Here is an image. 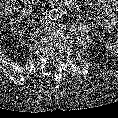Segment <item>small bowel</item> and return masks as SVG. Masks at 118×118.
<instances>
[{"label": "small bowel", "instance_id": "obj_1", "mask_svg": "<svg viewBox=\"0 0 118 118\" xmlns=\"http://www.w3.org/2000/svg\"><path fill=\"white\" fill-rule=\"evenodd\" d=\"M96 4L102 9V16L96 19V24L104 30H111L116 25L113 10L118 11V0H96ZM112 45L117 46L118 40Z\"/></svg>", "mask_w": 118, "mask_h": 118}]
</instances>
